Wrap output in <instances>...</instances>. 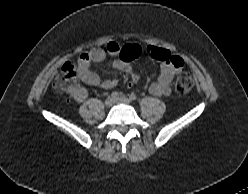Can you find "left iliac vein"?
<instances>
[{
	"label": "left iliac vein",
	"instance_id": "1",
	"mask_svg": "<svg viewBox=\"0 0 248 194\" xmlns=\"http://www.w3.org/2000/svg\"><path fill=\"white\" fill-rule=\"evenodd\" d=\"M115 103L128 105L131 103V100L127 97H120L115 100Z\"/></svg>",
	"mask_w": 248,
	"mask_h": 194
}]
</instances>
